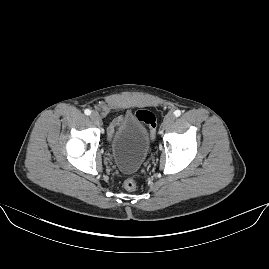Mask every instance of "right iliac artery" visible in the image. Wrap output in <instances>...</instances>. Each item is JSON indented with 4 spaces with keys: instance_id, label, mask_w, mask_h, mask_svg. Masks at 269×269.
Wrapping results in <instances>:
<instances>
[{
    "instance_id": "right-iliac-artery-1",
    "label": "right iliac artery",
    "mask_w": 269,
    "mask_h": 269,
    "mask_svg": "<svg viewBox=\"0 0 269 269\" xmlns=\"http://www.w3.org/2000/svg\"><path fill=\"white\" fill-rule=\"evenodd\" d=\"M84 113H85L86 115H90V114H91V111H90L89 109H86V110L84 111Z\"/></svg>"
}]
</instances>
